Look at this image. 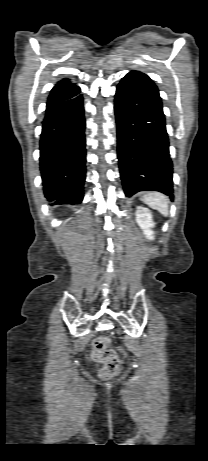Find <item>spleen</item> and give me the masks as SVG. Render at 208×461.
<instances>
[{
    "instance_id": "1",
    "label": "spleen",
    "mask_w": 208,
    "mask_h": 461,
    "mask_svg": "<svg viewBox=\"0 0 208 461\" xmlns=\"http://www.w3.org/2000/svg\"><path fill=\"white\" fill-rule=\"evenodd\" d=\"M141 200L151 208L159 211L163 216L169 215L168 198L159 192H149Z\"/></svg>"
}]
</instances>
